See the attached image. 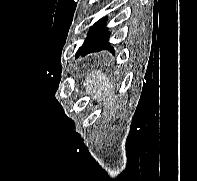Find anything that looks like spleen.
<instances>
[{
    "label": "spleen",
    "mask_w": 197,
    "mask_h": 181,
    "mask_svg": "<svg viewBox=\"0 0 197 181\" xmlns=\"http://www.w3.org/2000/svg\"><path fill=\"white\" fill-rule=\"evenodd\" d=\"M85 87L86 92L91 94L94 100L100 102L102 100L111 101L113 99L111 90L114 87L110 84L106 74L102 73L101 70H95L86 77Z\"/></svg>",
    "instance_id": "obj_1"
}]
</instances>
